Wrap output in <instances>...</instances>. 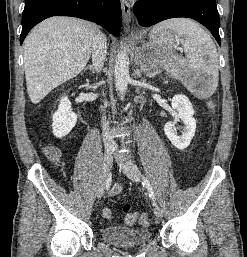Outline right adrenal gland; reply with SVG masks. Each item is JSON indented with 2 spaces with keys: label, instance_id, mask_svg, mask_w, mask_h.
<instances>
[{
  "label": "right adrenal gland",
  "instance_id": "obj_1",
  "mask_svg": "<svg viewBox=\"0 0 247 257\" xmlns=\"http://www.w3.org/2000/svg\"><path fill=\"white\" fill-rule=\"evenodd\" d=\"M88 69L92 72V74L95 73V68L93 67V65H88L87 67H85L84 70H88Z\"/></svg>",
  "mask_w": 247,
  "mask_h": 257
}]
</instances>
